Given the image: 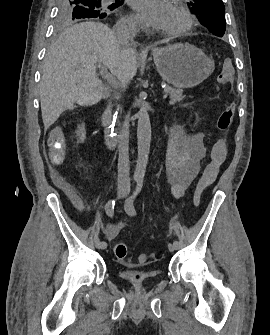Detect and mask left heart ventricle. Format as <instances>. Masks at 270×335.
I'll list each match as a JSON object with an SVG mask.
<instances>
[{"instance_id": "1", "label": "left heart ventricle", "mask_w": 270, "mask_h": 335, "mask_svg": "<svg viewBox=\"0 0 270 335\" xmlns=\"http://www.w3.org/2000/svg\"><path fill=\"white\" fill-rule=\"evenodd\" d=\"M182 23H183V21H182L181 17L176 13L175 20H174L175 29H178L182 25ZM176 52H189V51L179 50V51H176Z\"/></svg>"}]
</instances>
